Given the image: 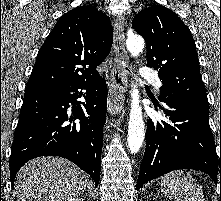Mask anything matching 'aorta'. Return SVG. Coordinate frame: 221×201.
Returning <instances> with one entry per match:
<instances>
[{"label": "aorta", "instance_id": "762f6f07", "mask_svg": "<svg viewBox=\"0 0 221 201\" xmlns=\"http://www.w3.org/2000/svg\"><path fill=\"white\" fill-rule=\"evenodd\" d=\"M126 46L132 56H137L144 49V40L138 35H130L126 40ZM132 88L127 141L131 153L135 154L144 142L145 124L140 106L139 90L136 84H133Z\"/></svg>", "mask_w": 221, "mask_h": 201}]
</instances>
